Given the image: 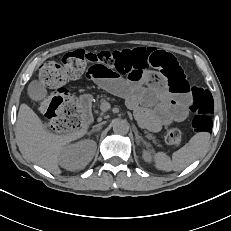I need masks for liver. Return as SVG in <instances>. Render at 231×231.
<instances>
[{
    "mask_svg": "<svg viewBox=\"0 0 231 231\" xmlns=\"http://www.w3.org/2000/svg\"><path fill=\"white\" fill-rule=\"evenodd\" d=\"M88 126L66 135L49 132L39 116L27 105L21 104L17 117V137L21 151L35 164L60 174V155L65 146L84 136Z\"/></svg>",
    "mask_w": 231,
    "mask_h": 231,
    "instance_id": "obj_1",
    "label": "liver"
}]
</instances>
